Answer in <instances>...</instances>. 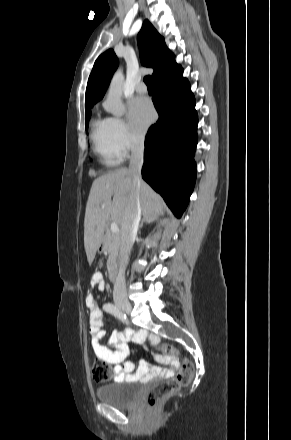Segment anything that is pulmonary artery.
<instances>
[{"label":"pulmonary artery","instance_id":"pulmonary-artery-1","mask_svg":"<svg viewBox=\"0 0 291 440\" xmlns=\"http://www.w3.org/2000/svg\"><path fill=\"white\" fill-rule=\"evenodd\" d=\"M136 92L139 94H145L147 92V86L145 82L140 81L136 86Z\"/></svg>","mask_w":291,"mask_h":440}]
</instances>
